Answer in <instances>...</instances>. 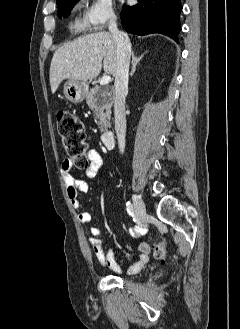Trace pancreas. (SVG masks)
<instances>
[{
	"label": "pancreas",
	"mask_w": 240,
	"mask_h": 329,
	"mask_svg": "<svg viewBox=\"0 0 240 329\" xmlns=\"http://www.w3.org/2000/svg\"><path fill=\"white\" fill-rule=\"evenodd\" d=\"M107 88L96 86L86 94V103L94 112L97 125L101 132L107 131L111 127V107L112 95L108 93Z\"/></svg>",
	"instance_id": "cf45deb5"
}]
</instances>
